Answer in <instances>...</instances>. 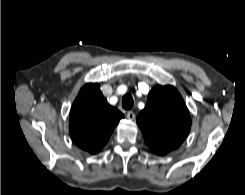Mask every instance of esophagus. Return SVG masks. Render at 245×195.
<instances>
[{
	"label": "esophagus",
	"mask_w": 245,
	"mask_h": 195,
	"mask_svg": "<svg viewBox=\"0 0 245 195\" xmlns=\"http://www.w3.org/2000/svg\"><path fill=\"white\" fill-rule=\"evenodd\" d=\"M126 116L129 120L135 119V113L133 111H128Z\"/></svg>",
	"instance_id": "esophagus-1"
}]
</instances>
